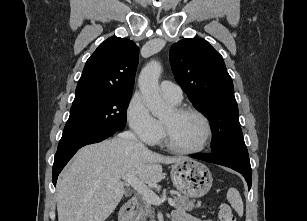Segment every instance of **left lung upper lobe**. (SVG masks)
Here are the masks:
<instances>
[{"label": "left lung upper lobe", "mask_w": 307, "mask_h": 221, "mask_svg": "<svg viewBox=\"0 0 307 221\" xmlns=\"http://www.w3.org/2000/svg\"><path fill=\"white\" fill-rule=\"evenodd\" d=\"M174 78L213 127V154L249 160L239 123L233 82L222 56L202 38H188L170 48Z\"/></svg>", "instance_id": "1"}]
</instances>
